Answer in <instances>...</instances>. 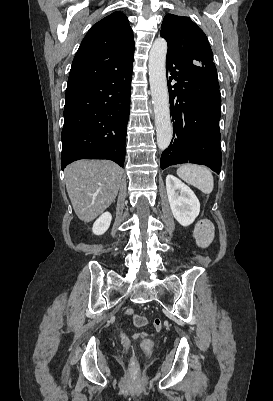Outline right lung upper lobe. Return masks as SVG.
Instances as JSON below:
<instances>
[{
    "label": "right lung upper lobe",
    "instance_id": "cb5924a9",
    "mask_svg": "<svg viewBox=\"0 0 273 401\" xmlns=\"http://www.w3.org/2000/svg\"><path fill=\"white\" fill-rule=\"evenodd\" d=\"M133 31L122 12L97 22L86 34L73 59L66 93L102 79L107 73L133 61Z\"/></svg>",
    "mask_w": 273,
    "mask_h": 401
}]
</instances>
